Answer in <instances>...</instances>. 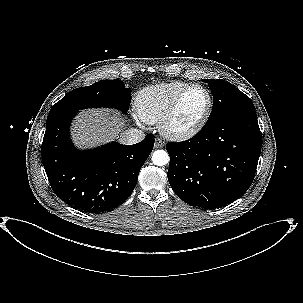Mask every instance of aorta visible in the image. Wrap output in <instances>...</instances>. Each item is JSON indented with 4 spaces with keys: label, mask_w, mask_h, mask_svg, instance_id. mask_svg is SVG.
I'll return each mask as SVG.
<instances>
[{
    "label": "aorta",
    "mask_w": 303,
    "mask_h": 303,
    "mask_svg": "<svg viewBox=\"0 0 303 303\" xmlns=\"http://www.w3.org/2000/svg\"><path fill=\"white\" fill-rule=\"evenodd\" d=\"M152 162L156 166H164L169 162V155L165 150H156L152 154Z\"/></svg>",
    "instance_id": "obj_1"
}]
</instances>
